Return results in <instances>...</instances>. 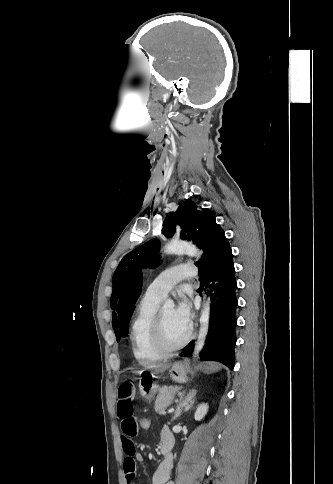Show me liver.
I'll return each instance as SVG.
<instances>
[{
  "label": "liver",
  "instance_id": "obj_1",
  "mask_svg": "<svg viewBox=\"0 0 333 484\" xmlns=\"http://www.w3.org/2000/svg\"><path fill=\"white\" fill-rule=\"evenodd\" d=\"M170 364H153L148 366L147 368L152 370L154 373H163L169 368Z\"/></svg>",
  "mask_w": 333,
  "mask_h": 484
}]
</instances>
